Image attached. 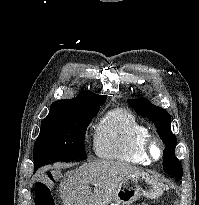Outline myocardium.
<instances>
[{"label": "myocardium", "instance_id": "1", "mask_svg": "<svg viewBox=\"0 0 199 205\" xmlns=\"http://www.w3.org/2000/svg\"><path fill=\"white\" fill-rule=\"evenodd\" d=\"M142 152L149 161L156 162L160 160L163 156L162 142L157 136L153 134H148L143 139Z\"/></svg>", "mask_w": 199, "mask_h": 205}]
</instances>
